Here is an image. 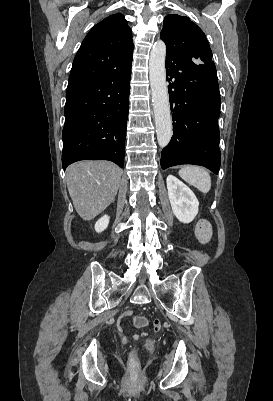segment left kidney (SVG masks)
I'll list each match as a JSON object with an SVG mask.
<instances>
[{
	"instance_id": "1",
	"label": "left kidney",
	"mask_w": 273,
	"mask_h": 401,
	"mask_svg": "<svg viewBox=\"0 0 273 401\" xmlns=\"http://www.w3.org/2000/svg\"><path fill=\"white\" fill-rule=\"evenodd\" d=\"M166 182L170 205L175 217L181 223H191L198 215V198L189 186H186L173 174H168Z\"/></svg>"
}]
</instances>
